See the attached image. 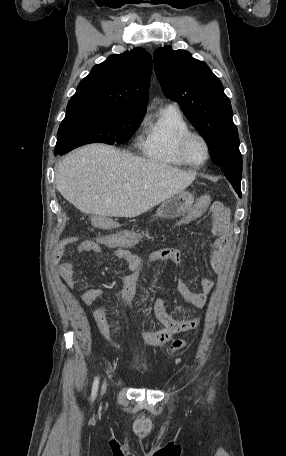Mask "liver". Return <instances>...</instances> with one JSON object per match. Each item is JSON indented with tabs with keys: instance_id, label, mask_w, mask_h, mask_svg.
I'll list each match as a JSON object with an SVG mask.
<instances>
[{
	"instance_id": "obj_1",
	"label": "liver",
	"mask_w": 286,
	"mask_h": 456,
	"mask_svg": "<svg viewBox=\"0 0 286 456\" xmlns=\"http://www.w3.org/2000/svg\"><path fill=\"white\" fill-rule=\"evenodd\" d=\"M195 177L194 172L92 144L59 163L55 183L83 213L132 218L180 193Z\"/></svg>"
}]
</instances>
